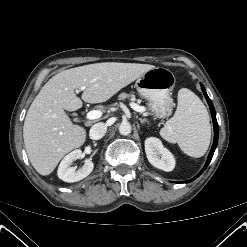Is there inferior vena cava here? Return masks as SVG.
Returning <instances> with one entry per match:
<instances>
[{
    "mask_svg": "<svg viewBox=\"0 0 247 247\" xmlns=\"http://www.w3.org/2000/svg\"><path fill=\"white\" fill-rule=\"evenodd\" d=\"M107 132V125L103 122L94 124L90 129V138L94 140L101 139Z\"/></svg>",
    "mask_w": 247,
    "mask_h": 247,
    "instance_id": "602c4592",
    "label": "inferior vena cava"
}]
</instances>
